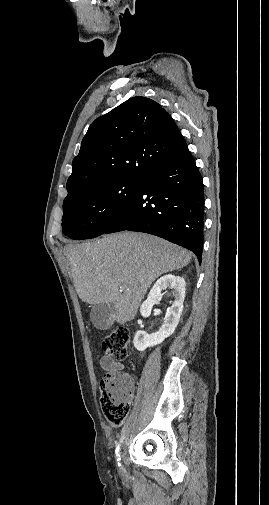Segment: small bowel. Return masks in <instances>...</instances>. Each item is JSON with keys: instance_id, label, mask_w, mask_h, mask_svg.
Segmentation results:
<instances>
[{"instance_id": "obj_1", "label": "small bowel", "mask_w": 269, "mask_h": 505, "mask_svg": "<svg viewBox=\"0 0 269 505\" xmlns=\"http://www.w3.org/2000/svg\"><path fill=\"white\" fill-rule=\"evenodd\" d=\"M101 365L108 375L119 373L123 367L121 363L116 362L110 357H102Z\"/></svg>"}]
</instances>
